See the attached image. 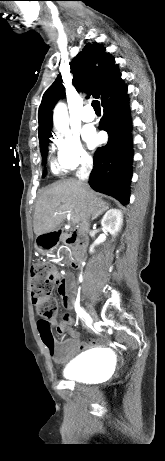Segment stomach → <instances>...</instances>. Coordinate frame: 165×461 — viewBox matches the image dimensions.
Returning <instances> with one entry per match:
<instances>
[{"instance_id": "1", "label": "stomach", "mask_w": 165, "mask_h": 461, "mask_svg": "<svg viewBox=\"0 0 165 461\" xmlns=\"http://www.w3.org/2000/svg\"><path fill=\"white\" fill-rule=\"evenodd\" d=\"M37 249H38L40 252H43V253L46 252V251H45L42 247H40V246H37Z\"/></svg>"}]
</instances>
